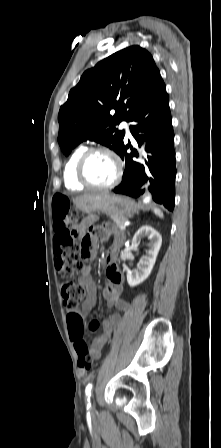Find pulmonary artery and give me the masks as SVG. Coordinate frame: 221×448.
<instances>
[{
  "label": "pulmonary artery",
  "mask_w": 221,
  "mask_h": 448,
  "mask_svg": "<svg viewBox=\"0 0 221 448\" xmlns=\"http://www.w3.org/2000/svg\"><path fill=\"white\" fill-rule=\"evenodd\" d=\"M121 127L124 128L125 133L128 137L132 138L131 132H130V127H129V123L127 121H123L121 124Z\"/></svg>",
  "instance_id": "obj_1"
}]
</instances>
